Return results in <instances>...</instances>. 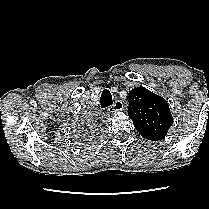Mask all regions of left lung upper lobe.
<instances>
[{
    "label": "left lung upper lobe",
    "mask_w": 209,
    "mask_h": 209,
    "mask_svg": "<svg viewBox=\"0 0 209 209\" xmlns=\"http://www.w3.org/2000/svg\"><path fill=\"white\" fill-rule=\"evenodd\" d=\"M128 115L140 135L151 141L162 140L173 123L167 101L144 87L129 92Z\"/></svg>",
    "instance_id": "left-lung-upper-lobe-1"
}]
</instances>
